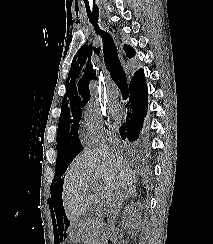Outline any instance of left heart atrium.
<instances>
[{
	"label": "left heart atrium",
	"instance_id": "obj_1",
	"mask_svg": "<svg viewBox=\"0 0 213 244\" xmlns=\"http://www.w3.org/2000/svg\"><path fill=\"white\" fill-rule=\"evenodd\" d=\"M109 110H110L111 115L114 118H119V116H120V108L115 102H112L110 104Z\"/></svg>",
	"mask_w": 213,
	"mask_h": 244
}]
</instances>
